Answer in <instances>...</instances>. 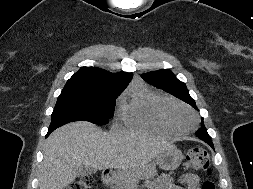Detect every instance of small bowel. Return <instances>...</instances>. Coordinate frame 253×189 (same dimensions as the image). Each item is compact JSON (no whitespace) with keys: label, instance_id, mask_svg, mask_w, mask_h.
Masks as SVG:
<instances>
[{"label":"small bowel","instance_id":"obj_1","mask_svg":"<svg viewBox=\"0 0 253 189\" xmlns=\"http://www.w3.org/2000/svg\"><path fill=\"white\" fill-rule=\"evenodd\" d=\"M179 182L185 186V189H199V177L193 173L183 174ZM150 187L152 189H179L169 175L160 176Z\"/></svg>","mask_w":253,"mask_h":189}]
</instances>
